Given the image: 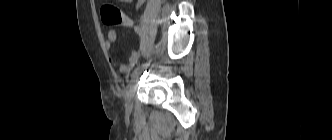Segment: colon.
I'll list each match as a JSON object with an SVG mask.
<instances>
[{
    "label": "colon",
    "instance_id": "1",
    "mask_svg": "<svg viewBox=\"0 0 332 140\" xmlns=\"http://www.w3.org/2000/svg\"><path fill=\"white\" fill-rule=\"evenodd\" d=\"M101 19L105 25L108 26H123L131 27L132 22L129 17L117 6L111 3H106L100 10Z\"/></svg>",
    "mask_w": 332,
    "mask_h": 140
}]
</instances>
